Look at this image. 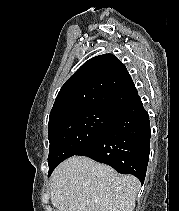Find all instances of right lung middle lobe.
<instances>
[{"label":"right lung middle lobe","instance_id":"obj_1","mask_svg":"<svg viewBox=\"0 0 179 211\" xmlns=\"http://www.w3.org/2000/svg\"><path fill=\"white\" fill-rule=\"evenodd\" d=\"M110 109H86L63 116L48 125L49 173L63 160L94 142L116 117Z\"/></svg>","mask_w":179,"mask_h":211}]
</instances>
